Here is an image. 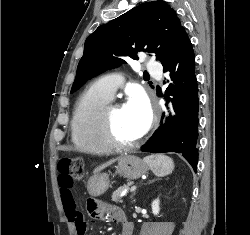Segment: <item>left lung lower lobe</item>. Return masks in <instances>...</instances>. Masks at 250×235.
Instances as JSON below:
<instances>
[{"label":"left lung lower lobe","instance_id":"0a47b994","mask_svg":"<svg viewBox=\"0 0 250 235\" xmlns=\"http://www.w3.org/2000/svg\"><path fill=\"white\" fill-rule=\"evenodd\" d=\"M164 72H170L166 99L172 101L175 115L167 118L141 149L144 152H177L197 169L198 149V86L195 76V56L191 42L181 29L167 58L162 62ZM173 96V98H169Z\"/></svg>","mask_w":250,"mask_h":235}]
</instances>
